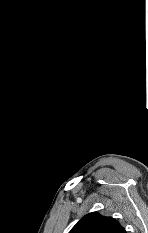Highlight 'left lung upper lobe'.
<instances>
[{
	"mask_svg": "<svg viewBox=\"0 0 148 233\" xmlns=\"http://www.w3.org/2000/svg\"><path fill=\"white\" fill-rule=\"evenodd\" d=\"M70 233H126V231L112 217L93 212L81 218Z\"/></svg>",
	"mask_w": 148,
	"mask_h": 233,
	"instance_id": "obj_1",
	"label": "left lung upper lobe"
}]
</instances>
